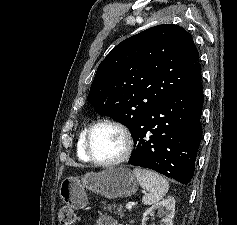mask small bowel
Returning <instances> with one entry per match:
<instances>
[{
    "label": "small bowel",
    "mask_w": 237,
    "mask_h": 225,
    "mask_svg": "<svg viewBox=\"0 0 237 225\" xmlns=\"http://www.w3.org/2000/svg\"><path fill=\"white\" fill-rule=\"evenodd\" d=\"M95 225H122L116 219L109 216H101L95 222Z\"/></svg>",
    "instance_id": "small-bowel-1"
}]
</instances>
